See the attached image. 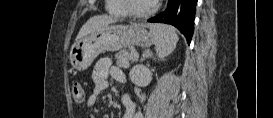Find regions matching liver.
Instances as JSON below:
<instances>
[{
	"label": "liver",
	"mask_w": 273,
	"mask_h": 118,
	"mask_svg": "<svg viewBox=\"0 0 273 118\" xmlns=\"http://www.w3.org/2000/svg\"><path fill=\"white\" fill-rule=\"evenodd\" d=\"M116 22V19L108 15H99L90 18L80 29L76 41L82 37L96 31L97 29Z\"/></svg>",
	"instance_id": "6515ba94"
}]
</instances>
